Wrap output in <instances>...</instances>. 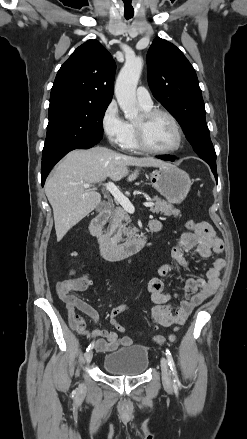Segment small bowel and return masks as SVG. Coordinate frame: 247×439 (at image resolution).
<instances>
[{
  "mask_svg": "<svg viewBox=\"0 0 247 439\" xmlns=\"http://www.w3.org/2000/svg\"><path fill=\"white\" fill-rule=\"evenodd\" d=\"M152 232L162 229V223L158 220L150 222ZM223 250V242L218 238L212 227L205 222L198 223L193 231L183 232L178 242L172 248L171 254L174 264H163L159 267L157 275L148 282V291L155 307L151 310V318L155 325L169 327L174 325L175 331L185 323L193 309L209 299L217 290L220 284V272L225 266V260L220 256ZM213 256L212 266L206 272V279L189 278L185 282L184 298L178 305H172L171 301L177 298V294L164 293L163 278L175 275L178 276L177 268H188L197 258H209ZM74 280L67 279L57 283V294L64 302L68 315L70 327L81 335L93 339V346L97 352H112L123 346L131 345L134 340L130 336H119L124 333L125 328L117 316L127 310H132L128 305H121L114 308L109 315L110 325L117 331L94 329L89 331L84 319L77 313V310L87 315L94 323L99 321L98 312L83 299L72 295ZM175 336L168 339L157 336L153 342L163 344L166 341H174Z\"/></svg>",
  "mask_w": 247,
  "mask_h": 439,
  "instance_id": "1",
  "label": "small bowel"
}]
</instances>
